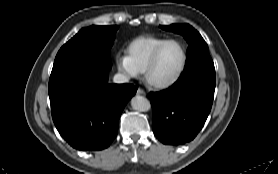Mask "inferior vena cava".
I'll return each mask as SVG.
<instances>
[{
	"label": "inferior vena cava",
	"instance_id": "602c4592",
	"mask_svg": "<svg viewBox=\"0 0 278 174\" xmlns=\"http://www.w3.org/2000/svg\"><path fill=\"white\" fill-rule=\"evenodd\" d=\"M129 81V76L117 73L113 77V82L117 84L127 83Z\"/></svg>",
	"mask_w": 278,
	"mask_h": 174
}]
</instances>
